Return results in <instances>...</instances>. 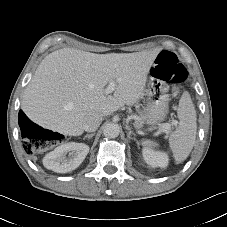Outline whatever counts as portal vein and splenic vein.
I'll return each instance as SVG.
<instances>
[{
  "instance_id": "1",
  "label": "portal vein and splenic vein",
  "mask_w": 227,
  "mask_h": 227,
  "mask_svg": "<svg viewBox=\"0 0 227 227\" xmlns=\"http://www.w3.org/2000/svg\"><path fill=\"white\" fill-rule=\"evenodd\" d=\"M115 82L110 81L109 85L106 87L105 92L106 94H110L115 90ZM173 124L176 125L177 121H173ZM161 131H170L171 130V124L170 123H163L160 127Z\"/></svg>"
}]
</instances>
